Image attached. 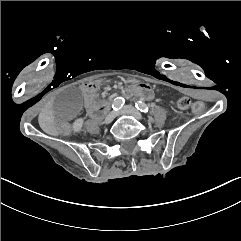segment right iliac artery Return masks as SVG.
I'll return each instance as SVG.
<instances>
[{"label": "right iliac artery", "instance_id": "right-iliac-artery-1", "mask_svg": "<svg viewBox=\"0 0 241 241\" xmlns=\"http://www.w3.org/2000/svg\"><path fill=\"white\" fill-rule=\"evenodd\" d=\"M125 104V99L122 97H117L114 99V102L112 103V108L117 111L120 110Z\"/></svg>", "mask_w": 241, "mask_h": 241}]
</instances>
